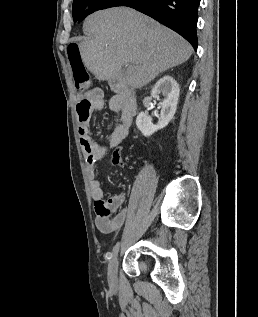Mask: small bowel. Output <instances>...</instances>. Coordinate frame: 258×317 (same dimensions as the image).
Returning a JSON list of instances; mask_svg holds the SVG:
<instances>
[{"label":"small bowel","mask_w":258,"mask_h":317,"mask_svg":"<svg viewBox=\"0 0 258 317\" xmlns=\"http://www.w3.org/2000/svg\"><path fill=\"white\" fill-rule=\"evenodd\" d=\"M104 107L103 93L98 88L91 89L87 95L76 104L78 121V134L80 145L85 157V162L90 180V193L94 201L95 225L103 233L117 232L125 223L131 211V205L125 204V195L118 194L104 199L101 182L96 177V163L106 156L107 148L92 140L89 132V122L94 112ZM109 107L119 116L117 126L114 128L109 146L120 144L130 133L135 115L133 101L121 94L114 95L109 100ZM114 165L124 167L121 155L113 154Z\"/></svg>","instance_id":"small-bowel-1"}]
</instances>
